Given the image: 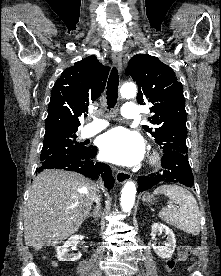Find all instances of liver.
Returning a JSON list of instances; mask_svg holds the SVG:
<instances>
[{"instance_id": "liver-1", "label": "liver", "mask_w": 221, "mask_h": 276, "mask_svg": "<svg viewBox=\"0 0 221 276\" xmlns=\"http://www.w3.org/2000/svg\"><path fill=\"white\" fill-rule=\"evenodd\" d=\"M97 193L98 185L78 173L45 170L38 174L25 206V244L38 251L76 233Z\"/></svg>"}]
</instances>
